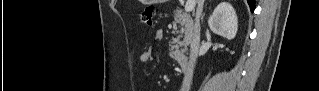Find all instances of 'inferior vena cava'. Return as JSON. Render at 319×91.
I'll return each instance as SVG.
<instances>
[{"label": "inferior vena cava", "instance_id": "inferior-vena-cava-1", "mask_svg": "<svg viewBox=\"0 0 319 91\" xmlns=\"http://www.w3.org/2000/svg\"><path fill=\"white\" fill-rule=\"evenodd\" d=\"M197 4L198 6L196 11L195 24L193 28L192 39L190 42L189 62L187 69L184 73L181 91H189L193 77L194 67L198 57V51L200 46V18H202L204 0H197Z\"/></svg>", "mask_w": 319, "mask_h": 91}]
</instances>
